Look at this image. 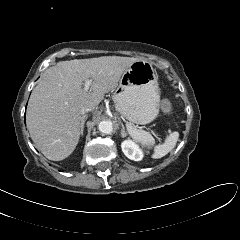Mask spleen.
Masks as SVG:
<instances>
[{
	"label": "spleen",
	"instance_id": "spleen-1",
	"mask_svg": "<svg viewBox=\"0 0 240 240\" xmlns=\"http://www.w3.org/2000/svg\"><path fill=\"white\" fill-rule=\"evenodd\" d=\"M130 136L137 142L146 144L147 146L154 145V138L146 131L128 126ZM179 138L178 132L171 133L163 144L156 145L154 148L153 158L158 159L167 155L176 145Z\"/></svg>",
	"mask_w": 240,
	"mask_h": 240
}]
</instances>
